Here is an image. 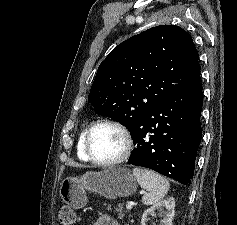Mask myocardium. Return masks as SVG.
<instances>
[{
    "mask_svg": "<svg viewBox=\"0 0 237 225\" xmlns=\"http://www.w3.org/2000/svg\"><path fill=\"white\" fill-rule=\"evenodd\" d=\"M101 126H108V127H112L116 129L123 138L124 145H123L122 152L116 158H113L110 160H100V159H97L91 152V148H90L91 136L93 132L95 131V129ZM132 149H133V140H132L130 132L125 126H123L117 121H114L111 119H102L93 123L86 131L85 139H84V151L88 159L96 165H100V166L118 165L124 162L130 156Z\"/></svg>",
    "mask_w": 237,
    "mask_h": 225,
    "instance_id": "obj_1",
    "label": "myocardium"
}]
</instances>
